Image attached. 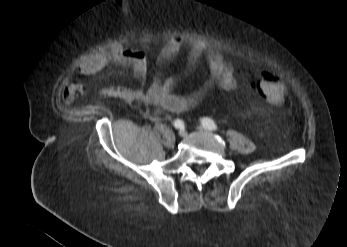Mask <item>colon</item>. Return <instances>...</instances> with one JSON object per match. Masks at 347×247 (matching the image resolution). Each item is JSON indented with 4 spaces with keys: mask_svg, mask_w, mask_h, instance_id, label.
Masks as SVG:
<instances>
[{
    "mask_svg": "<svg viewBox=\"0 0 347 247\" xmlns=\"http://www.w3.org/2000/svg\"><path fill=\"white\" fill-rule=\"evenodd\" d=\"M258 91L271 105H280L287 98V87L272 69H263L257 74Z\"/></svg>",
    "mask_w": 347,
    "mask_h": 247,
    "instance_id": "colon-1",
    "label": "colon"
}]
</instances>
